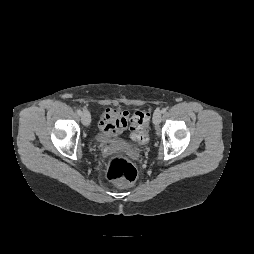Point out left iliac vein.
Segmentation results:
<instances>
[{"label": "left iliac vein", "mask_w": 254, "mask_h": 254, "mask_svg": "<svg viewBox=\"0 0 254 254\" xmlns=\"http://www.w3.org/2000/svg\"><path fill=\"white\" fill-rule=\"evenodd\" d=\"M161 118H162L161 111H159V110L155 111L154 116H153L154 124L158 125L161 122Z\"/></svg>", "instance_id": "4c4485c4"}]
</instances>
